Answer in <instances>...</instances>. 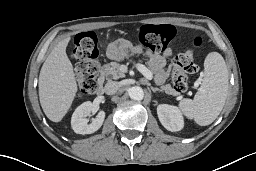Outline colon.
Here are the masks:
<instances>
[{"label":"colon","mask_w":256,"mask_h":171,"mask_svg":"<svg viewBox=\"0 0 256 171\" xmlns=\"http://www.w3.org/2000/svg\"><path fill=\"white\" fill-rule=\"evenodd\" d=\"M175 35L174 27L171 25L145 24L139 28V41L143 46L154 52L164 51ZM201 36L193 38L191 44L194 48L202 45ZM97 38L93 32H82L75 40L73 57L78 60L77 73V98L84 99L92 94L98 83L100 65L98 57ZM191 49L177 54L171 64V78L173 87L177 92H185L189 87L188 76L197 71Z\"/></svg>","instance_id":"obj_1"}]
</instances>
